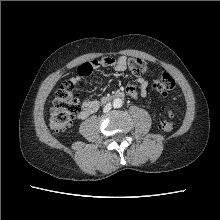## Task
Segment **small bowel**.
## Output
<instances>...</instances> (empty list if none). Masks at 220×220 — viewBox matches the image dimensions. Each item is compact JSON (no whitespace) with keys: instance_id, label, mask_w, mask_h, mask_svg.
Wrapping results in <instances>:
<instances>
[{"instance_id":"small-bowel-1","label":"small bowel","mask_w":220,"mask_h":220,"mask_svg":"<svg viewBox=\"0 0 220 220\" xmlns=\"http://www.w3.org/2000/svg\"><path fill=\"white\" fill-rule=\"evenodd\" d=\"M127 67V59L124 56H120L117 59L112 57H105L99 60H93L90 62H86L81 64L77 69V75L72 77L70 81L76 87L80 86L84 79L91 75L93 72L99 71L101 68H113L117 72H122L126 70ZM90 68L91 72L89 74L86 73V69ZM139 84V88H137L133 84H128L126 86V94L131 98H137L138 96H146L148 91V82L143 78L139 77L137 79ZM100 107V102L98 100L92 101H84L81 104L80 111L78 113V117L81 119H85L91 114L98 111Z\"/></svg>"}]
</instances>
